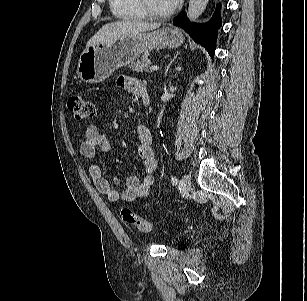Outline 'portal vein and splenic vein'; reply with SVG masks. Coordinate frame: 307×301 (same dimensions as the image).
I'll list each match as a JSON object with an SVG mask.
<instances>
[{
	"instance_id": "1",
	"label": "portal vein and splenic vein",
	"mask_w": 307,
	"mask_h": 301,
	"mask_svg": "<svg viewBox=\"0 0 307 301\" xmlns=\"http://www.w3.org/2000/svg\"><path fill=\"white\" fill-rule=\"evenodd\" d=\"M159 69L158 66H150L151 71H157Z\"/></svg>"
}]
</instances>
